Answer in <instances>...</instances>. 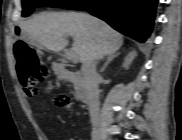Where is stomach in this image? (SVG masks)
<instances>
[{
    "label": "stomach",
    "instance_id": "obj_1",
    "mask_svg": "<svg viewBox=\"0 0 182 140\" xmlns=\"http://www.w3.org/2000/svg\"><path fill=\"white\" fill-rule=\"evenodd\" d=\"M12 30H23V25H12ZM13 35L16 36V41H29V36H25V31H14ZM31 41L34 42L33 40Z\"/></svg>",
    "mask_w": 182,
    "mask_h": 140
}]
</instances>
